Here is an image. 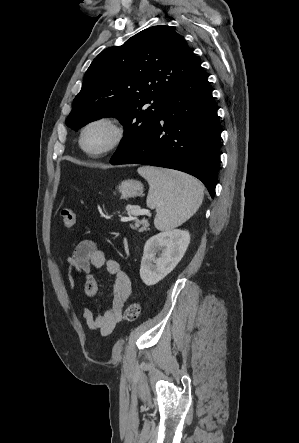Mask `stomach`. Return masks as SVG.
Wrapping results in <instances>:
<instances>
[{
    "label": "stomach",
    "mask_w": 299,
    "mask_h": 443,
    "mask_svg": "<svg viewBox=\"0 0 299 443\" xmlns=\"http://www.w3.org/2000/svg\"><path fill=\"white\" fill-rule=\"evenodd\" d=\"M119 192L125 197H136L142 194L143 185L137 180H125L118 186Z\"/></svg>",
    "instance_id": "1"
}]
</instances>
